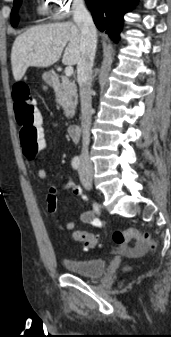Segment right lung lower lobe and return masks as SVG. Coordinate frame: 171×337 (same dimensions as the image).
<instances>
[{
	"mask_svg": "<svg viewBox=\"0 0 171 337\" xmlns=\"http://www.w3.org/2000/svg\"><path fill=\"white\" fill-rule=\"evenodd\" d=\"M94 23L115 42L123 24V15L133 7L134 0H86Z\"/></svg>",
	"mask_w": 171,
	"mask_h": 337,
	"instance_id": "obj_1",
	"label": "right lung lower lobe"
}]
</instances>
